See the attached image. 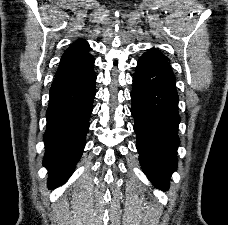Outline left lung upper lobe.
<instances>
[{
  "instance_id": "5c2ea615",
  "label": "left lung upper lobe",
  "mask_w": 228,
  "mask_h": 225,
  "mask_svg": "<svg viewBox=\"0 0 228 225\" xmlns=\"http://www.w3.org/2000/svg\"><path fill=\"white\" fill-rule=\"evenodd\" d=\"M143 55H149V56H152L153 58H156L158 60L169 61L168 57H166L163 53H161L160 51H158L154 48L150 49L149 51H147Z\"/></svg>"
}]
</instances>
